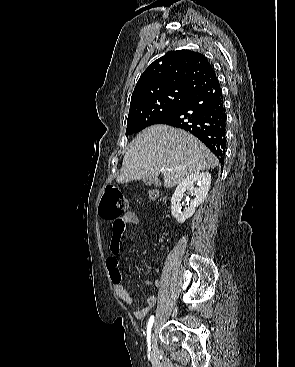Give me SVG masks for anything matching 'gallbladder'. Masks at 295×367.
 I'll return each instance as SVG.
<instances>
[{
  "mask_svg": "<svg viewBox=\"0 0 295 367\" xmlns=\"http://www.w3.org/2000/svg\"><path fill=\"white\" fill-rule=\"evenodd\" d=\"M143 182L145 183V185L147 186H150L152 184H158V181L157 180H153L151 178H147V179H144Z\"/></svg>",
  "mask_w": 295,
  "mask_h": 367,
  "instance_id": "obj_1",
  "label": "gallbladder"
}]
</instances>
